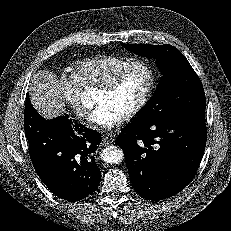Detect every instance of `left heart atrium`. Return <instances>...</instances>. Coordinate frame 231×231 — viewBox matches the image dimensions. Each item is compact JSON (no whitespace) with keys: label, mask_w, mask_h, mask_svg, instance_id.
<instances>
[{"label":"left heart atrium","mask_w":231,"mask_h":231,"mask_svg":"<svg viewBox=\"0 0 231 231\" xmlns=\"http://www.w3.org/2000/svg\"><path fill=\"white\" fill-rule=\"evenodd\" d=\"M123 114L107 102L99 103L90 116V122L104 128H112L120 123Z\"/></svg>","instance_id":"left-heart-atrium-1"}]
</instances>
